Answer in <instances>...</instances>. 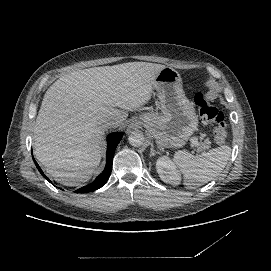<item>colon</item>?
I'll return each instance as SVG.
<instances>
[{
  "label": "colon",
  "mask_w": 271,
  "mask_h": 271,
  "mask_svg": "<svg viewBox=\"0 0 271 271\" xmlns=\"http://www.w3.org/2000/svg\"><path fill=\"white\" fill-rule=\"evenodd\" d=\"M194 100L203 122L214 126L213 130L215 141L218 144H223L227 139V124L225 122L224 115L206 98L203 93H197Z\"/></svg>",
  "instance_id": "obj_1"
}]
</instances>
